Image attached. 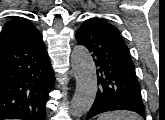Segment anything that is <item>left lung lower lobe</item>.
Here are the masks:
<instances>
[{"label": "left lung lower lobe", "mask_w": 165, "mask_h": 120, "mask_svg": "<svg viewBox=\"0 0 165 120\" xmlns=\"http://www.w3.org/2000/svg\"><path fill=\"white\" fill-rule=\"evenodd\" d=\"M75 37L78 44L92 52L97 67L98 92L86 120L102 112L120 109L144 117L140 84L122 37L105 29L96 18L86 20Z\"/></svg>", "instance_id": "1"}]
</instances>
